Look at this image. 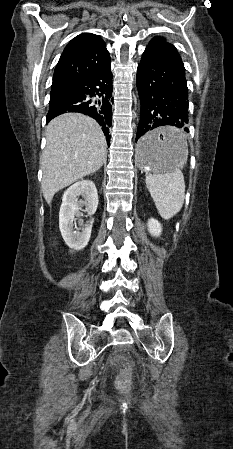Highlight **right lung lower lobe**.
I'll return each instance as SVG.
<instances>
[{
	"label": "right lung lower lobe",
	"instance_id": "1",
	"mask_svg": "<svg viewBox=\"0 0 233 449\" xmlns=\"http://www.w3.org/2000/svg\"><path fill=\"white\" fill-rule=\"evenodd\" d=\"M110 63L111 61L93 74L69 87L73 92L72 96L50 103L47 122L67 112L86 114L101 125L109 146V129L112 121L113 103Z\"/></svg>",
	"mask_w": 233,
	"mask_h": 449
}]
</instances>
